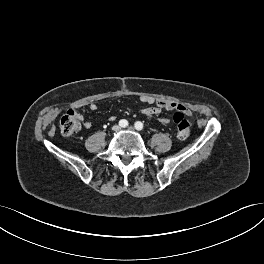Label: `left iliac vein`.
Instances as JSON below:
<instances>
[{
    "label": "left iliac vein",
    "instance_id": "left-iliac-vein-1",
    "mask_svg": "<svg viewBox=\"0 0 264 264\" xmlns=\"http://www.w3.org/2000/svg\"><path fill=\"white\" fill-rule=\"evenodd\" d=\"M128 130H130V131H134V127L129 126V127H128Z\"/></svg>",
    "mask_w": 264,
    "mask_h": 264
}]
</instances>
